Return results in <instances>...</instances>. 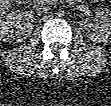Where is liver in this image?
I'll list each match as a JSON object with an SVG mask.
<instances>
[{"mask_svg":"<svg viewBox=\"0 0 111 106\" xmlns=\"http://www.w3.org/2000/svg\"><path fill=\"white\" fill-rule=\"evenodd\" d=\"M11 1L9 0H1L0 1V9L1 13H5V11L10 7Z\"/></svg>","mask_w":111,"mask_h":106,"instance_id":"6515ba94","label":"liver"}]
</instances>
